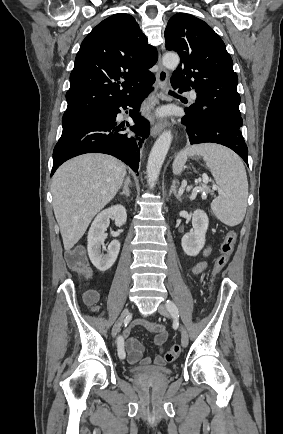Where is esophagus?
Returning a JSON list of instances; mask_svg holds the SVG:
<instances>
[{"mask_svg": "<svg viewBox=\"0 0 283 434\" xmlns=\"http://www.w3.org/2000/svg\"><path fill=\"white\" fill-rule=\"evenodd\" d=\"M157 84L161 92L167 89L168 84V72L164 68L161 62V58L158 59V71H157ZM167 121L153 122L151 127V136L156 137L166 127Z\"/></svg>", "mask_w": 283, "mask_h": 434, "instance_id": "34e87169", "label": "esophagus"}]
</instances>
